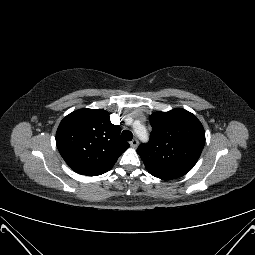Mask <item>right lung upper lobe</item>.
Masks as SVG:
<instances>
[{"instance_id":"right-lung-upper-lobe-1","label":"right lung upper lobe","mask_w":255,"mask_h":255,"mask_svg":"<svg viewBox=\"0 0 255 255\" xmlns=\"http://www.w3.org/2000/svg\"><path fill=\"white\" fill-rule=\"evenodd\" d=\"M103 109H79L67 115L56 133L57 148L76 173L97 176L110 170L129 147L120 138V126Z\"/></svg>"}]
</instances>
